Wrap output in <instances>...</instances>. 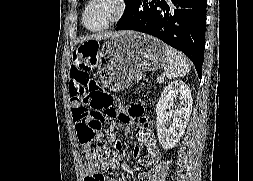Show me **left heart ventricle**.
Instances as JSON below:
<instances>
[{
    "instance_id": "b2bd125f",
    "label": "left heart ventricle",
    "mask_w": 253,
    "mask_h": 181,
    "mask_svg": "<svg viewBox=\"0 0 253 181\" xmlns=\"http://www.w3.org/2000/svg\"><path fill=\"white\" fill-rule=\"evenodd\" d=\"M116 10L115 0H96L86 13V24L90 28H99L106 24Z\"/></svg>"
}]
</instances>
